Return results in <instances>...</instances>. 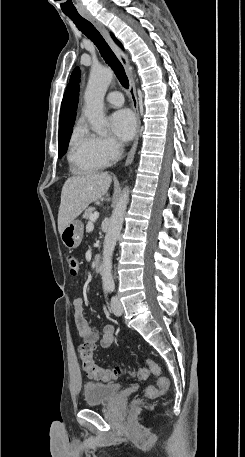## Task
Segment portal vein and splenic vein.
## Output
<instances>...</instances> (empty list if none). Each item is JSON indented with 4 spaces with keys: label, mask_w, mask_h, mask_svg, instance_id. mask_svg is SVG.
<instances>
[{
    "label": "portal vein and splenic vein",
    "mask_w": 245,
    "mask_h": 457,
    "mask_svg": "<svg viewBox=\"0 0 245 457\" xmlns=\"http://www.w3.org/2000/svg\"><path fill=\"white\" fill-rule=\"evenodd\" d=\"M98 216H99V212H94V214H91V216H90L91 222H94V220H97Z\"/></svg>",
    "instance_id": "portal-vein-and-splenic-vein-1"
}]
</instances>
